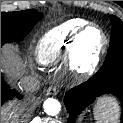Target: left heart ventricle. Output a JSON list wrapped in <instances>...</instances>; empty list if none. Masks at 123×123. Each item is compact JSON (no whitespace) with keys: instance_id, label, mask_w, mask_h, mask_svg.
<instances>
[{"instance_id":"1","label":"left heart ventricle","mask_w":123,"mask_h":123,"mask_svg":"<svg viewBox=\"0 0 123 123\" xmlns=\"http://www.w3.org/2000/svg\"><path fill=\"white\" fill-rule=\"evenodd\" d=\"M102 43V36L95 28L89 29L81 38L78 50L82 53L85 60H90Z\"/></svg>"}]
</instances>
